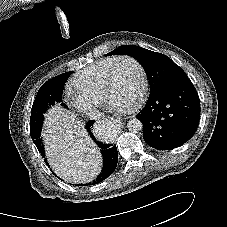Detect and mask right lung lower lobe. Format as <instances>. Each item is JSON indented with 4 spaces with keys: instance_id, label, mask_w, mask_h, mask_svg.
Returning <instances> with one entry per match:
<instances>
[{
    "instance_id": "right-lung-lower-lobe-1",
    "label": "right lung lower lobe",
    "mask_w": 227,
    "mask_h": 227,
    "mask_svg": "<svg viewBox=\"0 0 227 227\" xmlns=\"http://www.w3.org/2000/svg\"><path fill=\"white\" fill-rule=\"evenodd\" d=\"M94 122H95L94 120L88 121L86 124V129L91 135V137L93 138V140L96 141L95 137L91 133V126L93 125ZM96 143L102 149L104 163H103V169L101 173L99 174L97 179L94 180L93 183L101 182L104 179H106L108 176H110L115 170L118 162V151H117L116 145L105 144V143L103 144L102 142H99V141H97ZM44 161L48 165L46 159H44Z\"/></svg>"
}]
</instances>
